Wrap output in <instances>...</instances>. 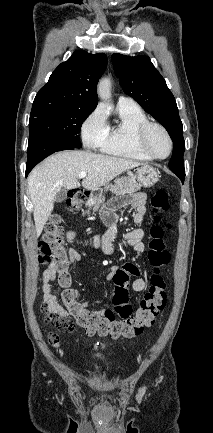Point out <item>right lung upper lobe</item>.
<instances>
[{"instance_id": "right-lung-upper-lobe-1", "label": "right lung upper lobe", "mask_w": 213, "mask_h": 433, "mask_svg": "<svg viewBox=\"0 0 213 433\" xmlns=\"http://www.w3.org/2000/svg\"><path fill=\"white\" fill-rule=\"evenodd\" d=\"M106 66L104 53L93 55L83 50L75 51L53 71L34 101L72 103L95 109L98 103L96 86Z\"/></svg>"}]
</instances>
